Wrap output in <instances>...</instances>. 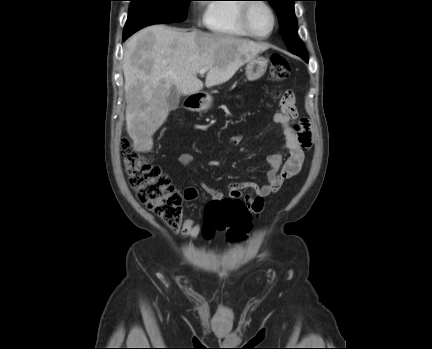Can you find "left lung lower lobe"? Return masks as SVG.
<instances>
[{"label":"left lung lower lobe","instance_id":"left-lung-lower-lobe-1","mask_svg":"<svg viewBox=\"0 0 432 349\" xmlns=\"http://www.w3.org/2000/svg\"><path fill=\"white\" fill-rule=\"evenodd\" d=\"M302 59H304L306 62H308V57L306 56H300Z\"/></svg>","mask_w":432,"mask_h":349}]
</instances>
